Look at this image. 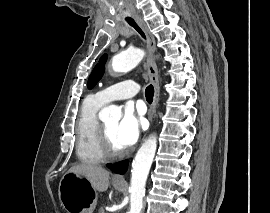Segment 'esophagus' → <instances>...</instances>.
<instances>
[{
  "label": "esophagus",
  "mask_w": 270,
  "mask_h": 213,
  "mask_svg": "<svg viewBox=\"0 0 270 213\" xmlns=\"http://www.w3.org/2000/svg\"><path fill=\"white\" fill-rule=\"evenodd\" d=\"M135 20L147 38L148 59H147V63H146V68L148 70L150 81L152 82V84L154 86V99H153V103L151 104L149 111H148V119H149V122L151 124L153 121L154 114L156 112V106L158 104L159 95H160L158 69H157V65H156L154 57H153L154 52H155V44L156 43H155V39H154L153 35L151 34L147 24L139 17H136ZM113 181L125 183L124 176L120 175V174L115 175L113 177Z\"/></svg>",
  "instance_id": "34e87169"
}]
</instances>
